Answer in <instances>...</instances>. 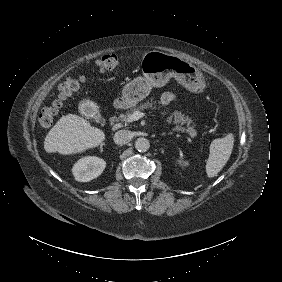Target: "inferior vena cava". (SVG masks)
<instances>
[{"label":"inferior vena cava","mask_w":282,"mask_h":282,"mask_svg":"<svg viewBox=\"0 0 282 282\" xmlns=\"http://www.w3.org/2000/svg\"><path fill=\"white\" fill-rule=\"evenodd\" d=\"M132 138L131 132L129 130H119L114 135V142L117 144H126Z\"/></svg>","instance_id":"inferior-vena-cava-1"}]
</instances>
